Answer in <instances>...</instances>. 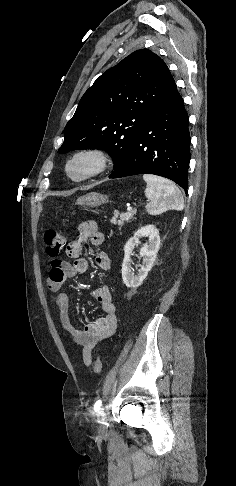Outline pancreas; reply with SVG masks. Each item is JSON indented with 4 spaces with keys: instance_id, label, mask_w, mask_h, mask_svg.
<instances>
[{
    "instance_id": "cf45deb5",
    "label": "pancreas",
    "mask_w": 236,
    "mask_h": 486,
    "mask_svg": "<svg viewBox=\"0 0 236 486\" xmlns=\"http://www.w3.org/2000/svg\"><path fill=\"white\" fill-rule=\"evenodd\" d=\"M135 215L134 211H129L126 213L115 214L114 217L111 219V223L114 225H119L120 227L124 225V223L130 221L133 216ZM118 219V220H117Z\"/></svg>"
}]
</instances>
